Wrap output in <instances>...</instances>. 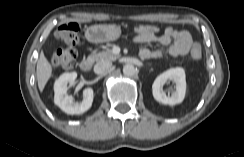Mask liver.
<instances>
[{"instance_id": "liver-1", "label": "liver", "mask_w": 244, "mask_h": 157, "mask_svg": "<svg viewBox=\"0 0 244 157\" xmlns=\"http://www.w3.org/2000/svg\"><path fill=\"white\" fill-rule=\"evenodd\" d=\"M36 76L39 90L42 92L48 80L52 76V66L43 52L40 53L37 61Z\"/></svg>"}]
</instances>
